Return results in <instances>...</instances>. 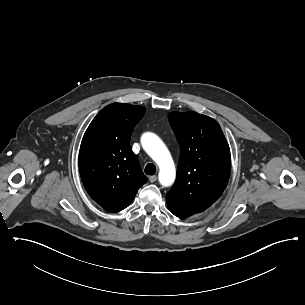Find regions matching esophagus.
I'll use <instances>...</instances> for the list:
<instances>
[{
    "instance_id": "esophagus-1",
    "label": "esophagus",
    "mask_w": 305,
    "mask_h": 305,
    "mask_svg": "<svg viewBox=\"0 0 305 305\" xmlns=\"http://www.w3.org/2000/svg\"><path fill=\"white\" fill-rule=\"evenodd\" d=\"M156 180H157V176H156V175H153V176H150V177H149V181H150L151 183L155 182Z\"/></svg>"
}]
</instances>
